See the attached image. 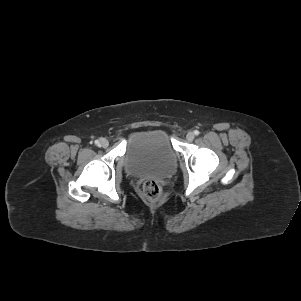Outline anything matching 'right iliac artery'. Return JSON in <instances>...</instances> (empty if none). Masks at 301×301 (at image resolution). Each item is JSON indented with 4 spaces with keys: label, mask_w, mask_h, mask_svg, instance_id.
I'll return each instance as SVG.
<instances>
[{
    "label": "right iliac artery",
    "mask_w": 301,
    "mask_h": 301,
    "mask_svg": "<svg viewBox=\"0 0 301 301\" xmlns=\"http://www.w3.org/2000/svg\"><path fill=\"white\" fill-rule=\"evenodd\" d=\"M95 144H96V145H99V141H98V140H95Z\"/></svg>",
    "instance_id": "82829eb1"
}]
</instances>
